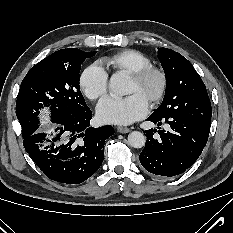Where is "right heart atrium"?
Here are the masks:
<instances>
[{"label":"right heart atrium","mask_w":233,"mask_h":233,"mask_svg":"<svg viewBox=\"0 0 233 233\" xmlns=\"http://www.w3.org/2000/svg\"><path fill=\"white\" fill-rule=\"evenodd\" d=\"M79 86L87 98L96 100L107 92L108 73L100 64H91L82 71Z\"/></svg>","instance_id":"d8ad5b80"}]
</instances>
